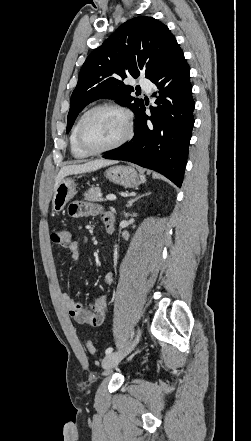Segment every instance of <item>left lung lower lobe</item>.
Masks as SVG:
<instances>
[{
  "instance_id": "left-lung-lower-lobe-1",
  "label": "left lung lower lobe",
  "mask_w": 251,
  "mask_h": 441,
  "mask_svg": "<svg viewBox=\"0 0 251 441\" xmlns=\"http://www.w3.org/2000/svg\"><path fill=\"white\" fill-rule=\"evenodd\" d=\"M190 68L178 44L150 79L157 86L151 116L144 103L136 112L133 139L103 156L157 171L181 187L194 125Z\"/></svg>"
}]
</instances>
